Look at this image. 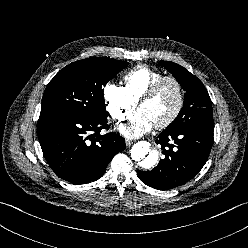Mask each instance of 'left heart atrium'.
I'll return each mask as SVG.
<instances>
[{
	"mask_svg": "<svg viewBox=\"0 0 248 248\" xmlns=\"http://www.w3.org/2000/svg\"><path fill=\"white\" fill-rule=\"evenodd\" d=\"M151 119L141 111L129 117L118 127L119 132L128 138H138L152 129Z\"/></svg>",
	"mask_w": 248,
	"mask_h": 248,
	"instance_id": "1",
	"label": "left heart atrium"
}]
</instances>
